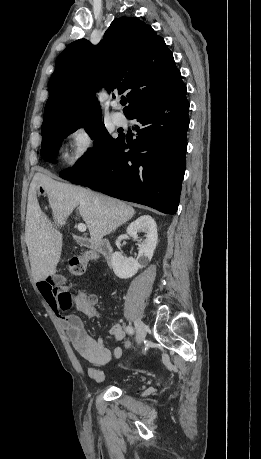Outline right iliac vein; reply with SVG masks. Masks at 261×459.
I'll list each match as a JSON object with an SVG mask.
<instances>
[{
  "instance_id": "1",
  "label": "right iliac vein",
  "mask_w": 261,
  "mask_h": 459,
  "mask_svg": "<svg viewBox=\"0 0 261 459\" xmlns=\"http://www.w3.org/2000/svg\"><path fill=\"white\" fill-rule=\"evenodd\" d=\"M135 327H136V330H137V342L138 344H141L145 337H146V333H147V326L144 322H142L141 320H135Z\"/></svg>"
}]
</instances>
